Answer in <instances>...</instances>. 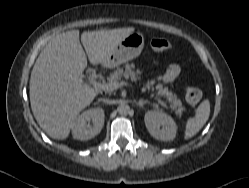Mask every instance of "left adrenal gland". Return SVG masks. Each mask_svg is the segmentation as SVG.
Instances as JSON below:
<instances>
[{
    "mask_svg": "<svg viewBox=\"0 0 249 188\" xmlns=\"http://www.w3.org/2000/svg\"><path fill=\"white\" fill-rule=\"evenodd\" d=\"M146 103H149V101L140 99L138 102H136V104H137L139 107H142V106H143L144 104H146Z\"/></svg>",
    "mask_w": 249,
    "mask_h": 188,
    "instance_id": "a2214340",
    "label": "left adrenal gland"
}]
</instances>
